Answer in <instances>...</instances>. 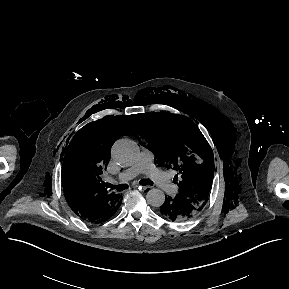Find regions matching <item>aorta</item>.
<instances>
[{"label":"aorta","mask_w":289,"mask_h":289,"mask_svg":"<svg viewBox=\"0 0 289 289\" xmlns=\"http://www.w3.org/2000/svg\"><path fill=\"white\" fill-rule=\"evenodd\" d=\"M139 155L138 145L129 139H120L112 147V157L120 165H130L136 161ZM147 203L153 207H160L165 201V194L162 190L153 188L147 192Z\"/></svg>","instance_id":"aorta-1"}]
</instances>
